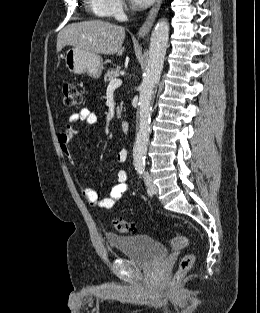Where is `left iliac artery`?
Listing matches in <instances>:
<instances>
[{
  "label": "left iliac artery",
  "mask_w": 260,
  "mask_h": 313,
  "mask_svg": "<svg viewBox=\"0 0 260 313\" xmlns=\"http://www.w3.org/2000/svg\"><path fill=\"white\" fill-rule=\"evenodd\" d=\"M136 170L141 175L144 172V170H145V165L144 164H137L136 165Z\"/></svg>",
  "instance_id": "left-iliac-artery-1"
}]
</instances>
